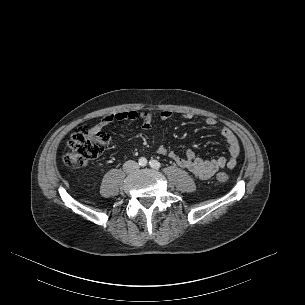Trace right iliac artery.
Listing matches in <instances>:
<instances>
[{
  "instance_id": "82829eb1",
  "label": "right iliac artery",
  "mask_w": 305,
  "mask_h": 305,
  "mask_svg": "<svg viewBox=\"0 0 305 305\" xmlns=\"http://www.w3.org/2000/svg\"><path fill=\"white\" fill-rule=\"evenodd\" d=\"M138 162H139V165L142 167L146 166V164H147V160L144 157H141Z\"/></svg>"
}]
</instances>
